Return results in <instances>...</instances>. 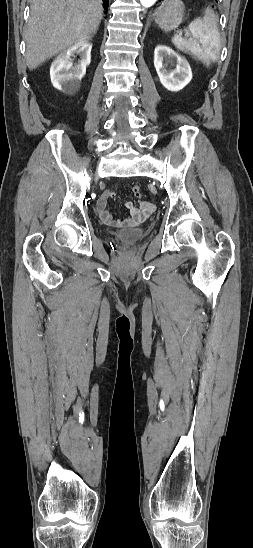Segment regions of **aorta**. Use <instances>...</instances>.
<instances>
[{
	"label": "aorta",
	"instance_id": "obj_1",
	"mask_svg": "<svg viewBox=\"0 0 253 548\" xmlns=\"http://www.w3.org/2000/svg\"><path fill=\"white\" fill-rule=\"evenodd\" d=\"M158 0H140V3L143 7H151L153 6Z\"/></svg>",
	"mask_w": 253,
	"mask_h": 548
}]
</instances>
